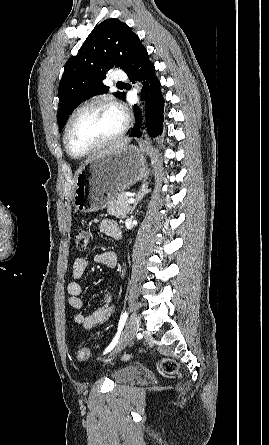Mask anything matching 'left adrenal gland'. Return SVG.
<instances>
[{
	"mask_svg": "<svg viewBox=\"0 0 269 445\" xmlns=\"http://www.w3.org/2000/svg\"><path fill=\"white\" fill-rule=\"evenodd\" d=\"M149 192H150V190L148 189V183L143 184L142 187H141V190H140V192H139V194H138V196L136 197V201H135V203H134V205H133V207H132V209H131L130 214L133 213V211H134V209L136 208L138 202H139V201H140L146 194H148Z\"/></svg>",
	"mask_w": 269,
	"mask_h": 445,
	"instance_id": "a2214340",
	"label": "left adrenal gland"
}]
</instances>
